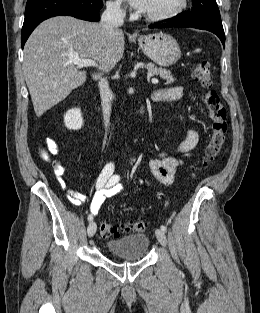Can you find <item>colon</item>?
<instances>
[{
  "label": "colon",
  "mask_w": 260,
  "mask_h": 313,
  "mask_svg": "<svg viewBox=\"0 0 260 313\" xmlns=\"http://www.w3.org/2000/svg\"><path fill=\"white\" fill-rule=\"evenodd\" d=\"M193 80L204 90V102L208 109L211 135L205 150L204 164L209 165L219 155L227 132V110L222 104L218 92L213 88L210 64L206 60H199L192 68ZM56 151V144L50 142L41 152L44 158ZM146 224L142 221H128L122 225L107 222L100 224V235L104 238L118 237L123 233L142 232Z\"/></svg>",
  "instance_id": "1"
}]
</instances>
